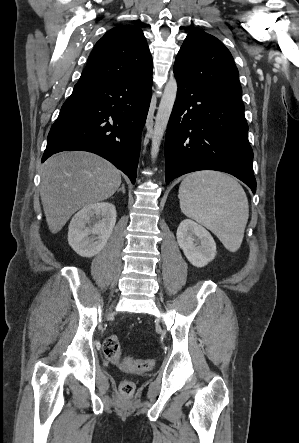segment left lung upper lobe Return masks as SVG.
<instances>
[{
  "mask_svg": "<svg viewBox=\"0 0 299 443\" xmlns=\"http://www.w3.org/2000/svg\"><path fill=\"white\" fill-rule=\"evenodd\" d=\"M173 71L190 82L242 102L239 73L233 57L216 37L195 29L180 48Z\"/></svg>",
  "mask_w": 299,
  "mask_h": 443,
  "instance_id": "1",
  "label": "left lung upper lobe"
}]
</instances>
